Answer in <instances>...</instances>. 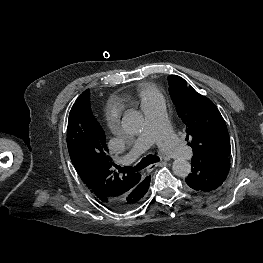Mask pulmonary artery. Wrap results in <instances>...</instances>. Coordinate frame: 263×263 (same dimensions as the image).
Returning <instances> with one entry per match:
<instances>
[{"instance_id": "obj_1", "label": "pulmonary artery", "mask_w": 263, "mask_h": 263, "mask_svg": "<svg viewBox=\"0 0 263 263\" xmlns=\"http://www.w3.org/2000/svg\"><path fill=\"white\" fill-rule=\"evenodd\" d=\"M146 124L129 151L126 161L135 160L149 149L154 143L169 156L178 159H188L192 152L185 146L171 130L165 111L163 99L157 98L142 106Z\"/></svg>"}]
</instances>
